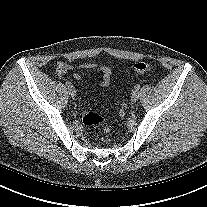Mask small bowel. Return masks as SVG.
<instances>
[{
    "label": "small bowel",
    "mask_w": 207,
    "mask_h": 207,
    "mask_svg": "<svg viewBox=\"0 0 207 207\" xmlns=\"http://www.w3.org/2000/svg\"><path fill=\"white\" fill-rule=\"evenodd\" d=\"M76 69H96L101 73L100 84L103 87H107L110 84L112 73H113V66L112 65H98L95 63H83L77 66H73L64 62H59L56 67V73L59 76H64L71 71ZM74 80L80 79V74L77 71H74L72 74Z\"/></svg>",
    "instance_id": "obj_1"
}]
</instances>
